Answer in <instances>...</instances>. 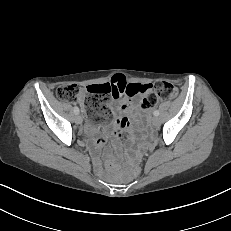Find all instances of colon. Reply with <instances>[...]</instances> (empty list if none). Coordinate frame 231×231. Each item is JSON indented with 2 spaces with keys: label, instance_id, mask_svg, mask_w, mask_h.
Here are the masks:
<instances>
[{
  "label": "colon",
  "instance_id": "colon-1",
  "mask_svg": "<svg viewBox=\"0 0 231 231\" xmlns=\"http://www.w3.org/2000/svg\"><path fill=\"white\" fill-rule=\"evenodd\" d=\"M131 93H146L143 100V106L152 108L156 106L160 98L170 99L175 96V87L165 81H160L152 86V90L148 92V87L134 86L130 88ZM116 92V88L109 84L91 85L86 88H80L73 84L62 85L57 88L56 95L63 101H81V95L85 97L82 100V107L85 108L88 116L92 121L101 124L107 123L111 119V112L107 107L108 100ZM141 163L135 162L131 169V174L137 176L141 172Z\"/></svg>",
  "mask_w": 231,
  "mask_h": 231
}]
</instances>
